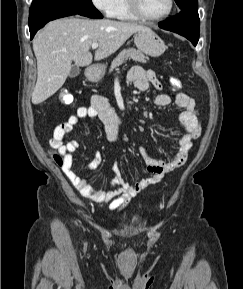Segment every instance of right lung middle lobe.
<instances>
[{"mask_svg": "<svg viewBox=\"0 0 243 289\" xmlns=\"http://www.w3.org/2000/svg\"><path fill=\"white\" fill-rule=\"evenodd\" d=\"M56 1H60V2H72V3H76V4H82V5H93L91 0H56Z\"/></svg>", "mask_w": 243, "mask_h": 289, "instance_id": "dd1d6c3e", "label": "right lung middle lobe"}]
</instances>
